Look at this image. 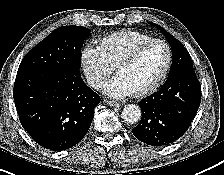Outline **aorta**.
<instances>
[{
  "label": "aorta",
  "mask_w": 224,
  "mask_h": 175,
  "mask_svg": "<svg viewBox=\"0 0 224 175\" xmlns=\"http://www.w3.org/2000/svg\"><path fill=\"white\" fill-rule=\"evenodd\" d=\"M122 118L129 123H136L141 118V110L135 104H128L122 110Z\"/></svg>",
  "instance_id": "obj_1"
}]
</instances>
